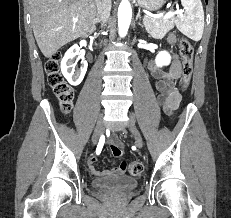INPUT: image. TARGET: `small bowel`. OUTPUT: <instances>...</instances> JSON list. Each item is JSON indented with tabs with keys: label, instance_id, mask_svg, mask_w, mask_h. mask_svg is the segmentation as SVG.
I'll use <instances>...</instances> for the list:
<instances>
[{
	"label": "small bowel",
	"instance_id": "c3829d8e",
	"mask_svg": "<svg viewBox=\"0 0 231 218\" xmlns=\"http://www.w3.org/2000/svg\"><path fill=\"white\" fill-rule=\"evenodd\" d=\"M168 41L170 43H174L175 37L173 35H169ZM149 70L151 75L158 79L156 89L159 92L157 98L159 104L163 107V110L167 115H172L181 102V93L179 90L178 81L181 78L182 73L178 56L174 55L171 66L165 72L160 71L154 62L149 64ZM110 140L113 144L117 145V140L115 137H111ZM96 162V156H92L88 160L89 169L95 176L121 175L126 170L121 163L118 167L112 168L111 170L102 171L97 169Z\"/></svg>",
	"mask_w": 231,
	"mask_h": 218
}]
</instances>
